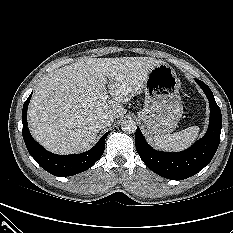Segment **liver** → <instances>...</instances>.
Here are the masks:
<instances>
[{
	"instance_id": "liver-1",
	"label": "liver",
	"mask_w": 233,
	"mask_h": 233,
	"mask_svg": "<svg viewBox=\"0 0 233 233\" xmlns=\"http://www.w3.org/2000/svg\"><path fill=\"white\" fill-rule=\"evenodd\" d=\"M161 63L150 57H87L55 70L39 82L30 101L32 136L58 154L90 148L99 131L95 117H122V104L141 92L150 70ZM106 77L113 100L102 101Z\"/></svg>"
}]
</instances>
